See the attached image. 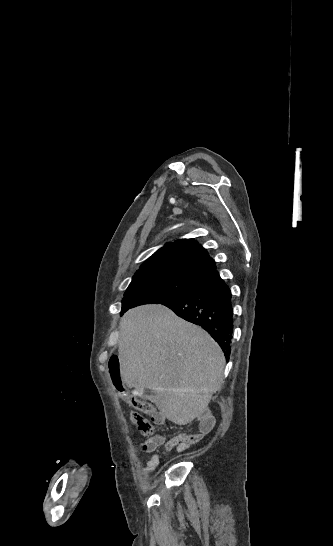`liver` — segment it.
<instances>
[{
    "mask_svg": "<svg viewBox=\"0 0 333 546\" xmlns=\"http://www.w3.org/2000/svg\"><path fill=\"white\" fill-rule=\"evenodd\" d=\"M118 359L122 383L178 425L202 416L223 383L225 357L202 328L160 304L129 310L120 321Z\"/></svg>",
    "mask_w": 333,
    "mask_h": 546,
    "instance_id": "1",
    "label": "liver"
}]
</instances>
